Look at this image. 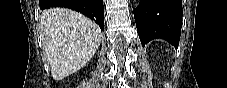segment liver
<instances>
[{"label": "liver", "mask_w": 227, "mask_h": 88, "mask_svg": "<svg viewBox=\"0 0 227 88\" xmlns=\"http://www.w3.org/2000/svg\"><path fill=\"white\" fill-rule=\"evenodd\" d=\"M41 40L54 80L83 68L101 42L96 23L67 8H50L40 16Z\"/></svg>", "instance_id": "6515ba94"}]
</instances>
